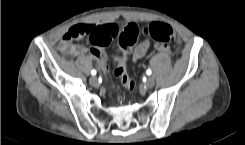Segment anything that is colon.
<instances>
[{
	"label": "colon",
	"instance_id": "obj_1",
	"mask_svg": "<svg viewBox=\"0 0 245 145\" xmlns=\"http://www.w3.org/2000/svg\"><path fill=\"white\" fill-rule=\"evenodd\" d=\"M108 31L111 39L117 38L119 44L115 74L130 92L135 91L136 83L127 75L126 63L130 49L137 40L139 34L158 43L167 45L176 40V33L172 27L156 21L146 24L141 28L132 22L123 23L119 26H110ZM95 37L96 31H94L92 26L87 24H77L68 30L64 40L71 41L75 39L87 38L92 41ZM102 68L105 69L104 66H102Z\"/></svg>",
	"mask_w": 245,
	"mask_h": 145
}]
</instances>
